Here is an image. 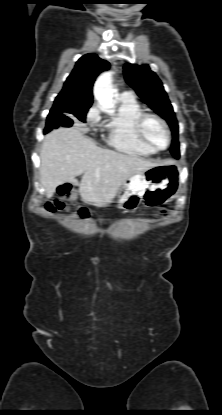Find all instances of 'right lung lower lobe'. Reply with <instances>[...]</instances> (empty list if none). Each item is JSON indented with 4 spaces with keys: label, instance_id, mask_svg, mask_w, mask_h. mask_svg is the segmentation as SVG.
<instances>
[{
    "label": "right lung lower lobe",
    "instance_id": "98d812e1",
    "mask_svg": "<svg viewBox=\"0 0 222 415\" xmlns=\"http://www.w3.org/2000/svg\"><path fill=\"white\" fill-rule=\"evenodd\" d=\"M44 132L47 133L48 132L47 129H45Z\"/></svg>",
    "mask_w": 222,
    "mask_h": 415
}]
</instances>
